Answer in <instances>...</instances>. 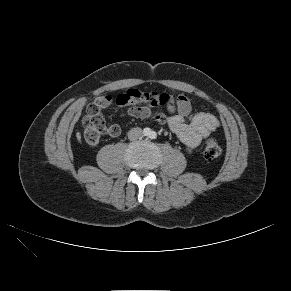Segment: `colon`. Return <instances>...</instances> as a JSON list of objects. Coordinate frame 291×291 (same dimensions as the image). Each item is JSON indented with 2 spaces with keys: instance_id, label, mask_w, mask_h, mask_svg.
Returning a JSON list of instances; mask_svg holds the SVG:
<instances>
[{
  "instance_id": "1",
  "label": "colon",
  "mask_w": 291,
  "mask_h": 291,
  "mask_svg": "<svg viewBox=\"0 0 291 291\" xmlns=\"http://www.w3.org/2000/svg\"><path fill=\"white\" fill-rule=\"evenodd\" d=\"M132 98L131 94L122 95L119 94L113 99V106L117 110H124L128 106V100ZM138 101H147L149 106H155L156 108L167 109L170 106V96L168 94L159 95H137ZM84 125V138L90 145L98 143L101 134H115L117 130L108 125L98 112V109L94 103L90 104L87 108V113L83 118ZM204 157L209 160H217L222 154L221 144L212 137L207 138L203 147Z\"/></svg>"
}]
</instances>
